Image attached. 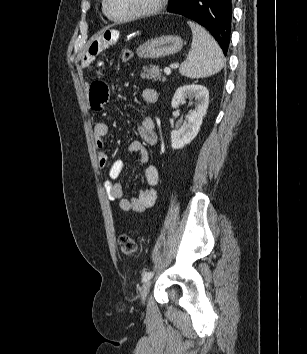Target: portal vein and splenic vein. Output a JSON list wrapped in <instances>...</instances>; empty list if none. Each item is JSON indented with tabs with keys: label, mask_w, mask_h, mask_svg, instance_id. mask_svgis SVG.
<instances>
[{
	"label": "portal vein and splenic vein",
	"mask_w": 307,
	"mask_h": 354,
	"mask_svg": "<svg viewBox=\"0 0 307 354\" xmlns=\"http://www.w3.org/2000/svg\"><path fill=\"white\" fill-rule=\"evenodd\" d=\"M164 73H165L166 75H170V74H171V68H170V67H165Z\"/></svg>",
	"instance_id": "obj_1"
}]
</instances>
